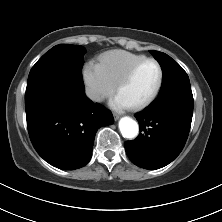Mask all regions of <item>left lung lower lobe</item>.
I'll return each instance as SVG.
<instances>
[{"mask_svg":"<svg viewBox=\"0 0 222 222\" xmlns=\"http://www.w3.org/2000/svg\"><path fill=\"white\" fill-rule=\"evenodd\" d=\"M191 91L166 92L135 115L140 134L125 142L132 163L145 169H158L172 162L182 151L191 126Z\"/></svg>","mask_w":222,"mask_h":222,"instance_id":"0a47b994","label":"left lung lower lobe"}]
</instances>
